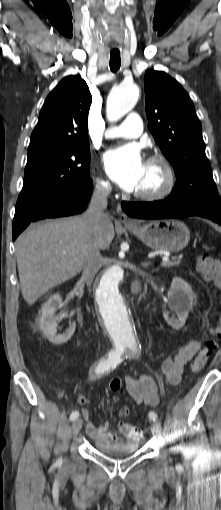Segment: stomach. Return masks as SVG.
Returning <instances> with one entry per match:
<instances>
[{"label": "stomach", "mask_w": 221, "mask_h": 510, "mask_svg": "<svg viewBox=\"0 0 221 510\" xmlns=\"http://www.w3.org/2000/svg\"><path fill=\"white\" fill-rule=\"evenodd\" d=\"M126 228L155 250L179 252L190 240L188 227L182 221L175 219L151 221L137 227L126 225Z\"/></svg>", "instance_id": "0dacf381"}]
</instances>
